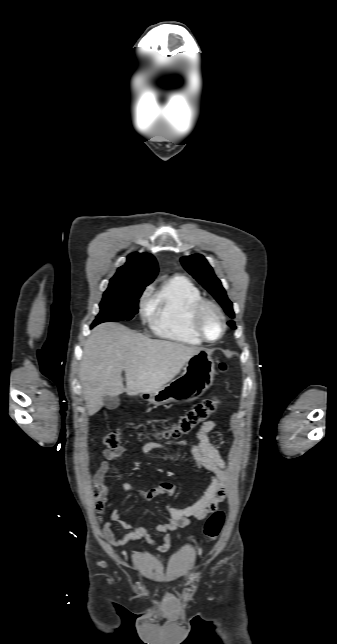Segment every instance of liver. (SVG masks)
Wrapping results in <instances>:
<instances>
[{"instance_id": "liver-1", "label": "liver", "mask_w": 337, "mask_h": 644, "mask_svg": "<svg viewBox=\"0 0 337 644\" xmlns=\"http://www.w3.org/2000/svg\"><path fill=\"white\" fill-rule=\"evenodd\" d=\"M202 348L150 339L118 323H103L87 338L79 377L89 416L116 397L151 393L170 382ZM125 371L126 387L121 373Z\"/></svg>"}]
</instances>
